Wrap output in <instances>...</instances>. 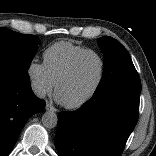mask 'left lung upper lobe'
I'll return each instance as SVG.
<instances>
[{
	"instance_id": "obj_1",
	"label": "left lung upper lobe",
	"mask_w": 156,
	"mask_h": 156,
	"mask_svg": "<svg viewBox=\"0 0 156 156\" xmlns=\"http://www.w3.org/2000/svg\"><path fill=\"white\" fill-rule=\"evenodd\" d=\"M98 43L104 50L105 60L103 75L94 95L113 89L141 92L139 75L126 48L109 36L98 38Z\"/></svg>"
}]
</instances>
